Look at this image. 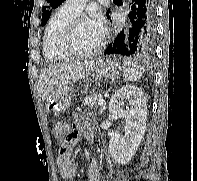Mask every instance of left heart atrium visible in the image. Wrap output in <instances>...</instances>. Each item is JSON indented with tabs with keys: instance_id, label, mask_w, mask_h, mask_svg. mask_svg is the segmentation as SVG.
<instances>
[{
	"instance_id": "left-heart-atrium-1",
	"label": "left heart atrium",
	"mask_w": 197,
	"mask_h": 181,
	"mask_svg": "<svg viewBox=\"0 0 197 181\" xmlns=\"http://www.w3.org/2000/svg\"><path fill=\"white\" fill-rule=\"evenodd\" d=\"M90 23L99 32H101V33L104 32L105 23H104V19H103L102 15L100 13H95L92 16Z\"/></svg>"
}]
</instances>
